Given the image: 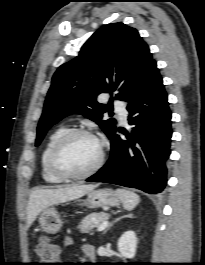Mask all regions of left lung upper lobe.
<instances>
[{
    "label": "left lung upper lobe",
    "mask_w": 205,
    "mask_h": 265,
    "mask_svg": "<svg viewBox=\"0 0 205 265\" xmlns=\"http://www.w3.org/2000/svg\"><path fill=\"white\" fill-rule=\"evenodd\" d=\"M156 64L148 45L135 28L121 22L103 26L83 45L79 55L61 65L52 78L37 127L36 146L47 130L69 114H83L96 121L110 138L115 119L102 120L112 105L97 102L101 93L117 91L126 101Z\"/></svg>",
    "instance_id": "1"
}]
</instances>
